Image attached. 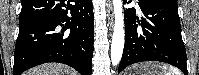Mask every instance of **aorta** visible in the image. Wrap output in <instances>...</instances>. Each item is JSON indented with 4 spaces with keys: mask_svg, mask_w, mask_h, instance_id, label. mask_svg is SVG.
Returning a JSON list of instances; mask_svg holds the SVG:
<instances>
[{
    "mask_svg": "<svg viewBox=\"0 0 199 75\" xmlns=\"http://www.w3.org/2000/svg\"><path fill=\"white\" fill-rule=\"evenodd\" d=\"M115 24L111 44V62L113 66L119 64L124 48V18L122 0H113Z\"/></svg>",
    "mask_w": 199,
    "mask_h": 75,
    "instance_id": "762f6f07",
    "label": "aorta"
}]
</instances>
